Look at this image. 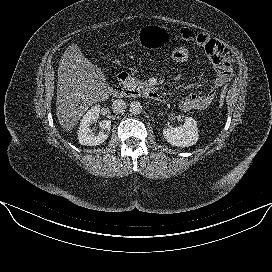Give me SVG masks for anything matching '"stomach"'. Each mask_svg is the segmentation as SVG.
<instances>
[{
  "instance_id": "1",
  "label": "stomach",
  "mask_w": 272,
  "mask_h": 272,
  "mask_svg": "<svg viewBox=\"0 0 272 272\" xmlns=\"http://www.w3.org/2000/svg\"><path fill=\"white\" fill-rule=\"evenodd\" d=\"M167 39L168 33L166 28L156 24H148L141 27L137 36L140 46L147 49L160 47Z\"/></svg>"
}]
</instances>
